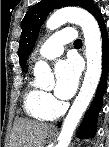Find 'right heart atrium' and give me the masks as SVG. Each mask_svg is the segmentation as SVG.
Segmentation results:
<instances>
[{"mask_svg": "<svg viewBox=\"0 0 109 147\" xmlns=\"http://www.w3.org/2000/svg\"><path fill=\"white\" fill-rule=\"evenodd\" d=\"M44 101H45V103H47L48 104V106H50V107H54V105H55V100H54V98L51 96V94H49V93H44Z\"/></svg>", "mask_w": 109, "mask_h": 147, "instance_id": "d8ad5b80", "label": "right heart atrium"}]
</instances>
